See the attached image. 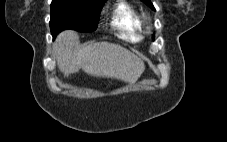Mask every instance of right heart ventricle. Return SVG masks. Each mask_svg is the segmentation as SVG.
<instances>
[{
  "label": "right heart ventricle",
  "instance_id": "obj_1",
  "mask_svg": "<svg viewBox=\"0 0 227 142\" xmlns=\"http://www.w3.org/2000/svg\"><path fill=\"white\" fill-rule=\"evenodd\" d=\"M111 26L125 39L131 41L140 39L141 17L135 6L126 0H118L115 4L112 11Z\"/></svg>",
  "mask_w": 227,
  "mask_h": 142
}]
</instances>
